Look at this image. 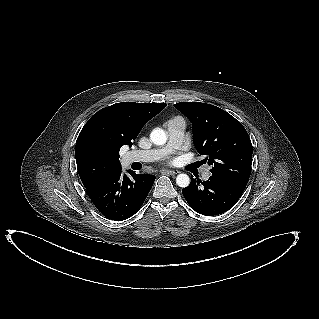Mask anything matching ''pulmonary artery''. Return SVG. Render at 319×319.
Returning a JSON list of instances; mask_svg holds the SVG:
<instances>
[{
	"label": "pulmonary artery",
	"instance_id": "pulmonary-artery-1",
	"mask_svg": "<svg viewBox=\"0 0 319 319\" xmlns=\"http://www.w3.org/2000/svg\"><path fill=\"white\" fill-rule=\"evenodd\" d=\"M168 141L165 146L152 150H135L125 155V160L132 162H151L159 160L178 149L183 142L185 135V123L181 119H173L167 123ZM211 173L205 169L202 173L204 180L209 179Z\"/></svg>",
	"mask_w": 319,
	"mask_h": 319
}]
</instances>
